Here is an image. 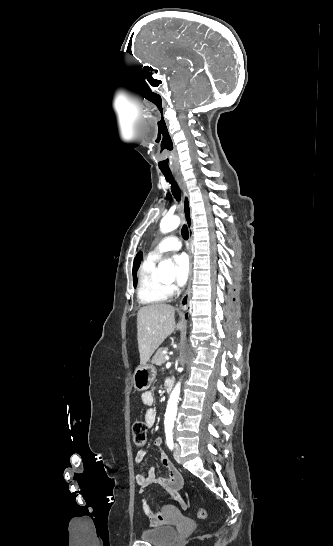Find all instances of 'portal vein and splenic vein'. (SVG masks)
Wrapping results in <instances>:
<instances>
[{
  "label": "portal vein and splenic vein",
  "instance_id": "obj_1",
  "mask_svg": "<svg viewBox=\"0 0 333 546\" xmlns=\"http://www.w3.org/2000/svg\"><path fill=\"white\" fill-rule=\"evenodd\" d=\"M165 359H166V360H168V359H169V356H168V355H166V356H165Z\"/></svg>",
  "mask_w": 333,
  "mask_h": 546
}]
</instances>
